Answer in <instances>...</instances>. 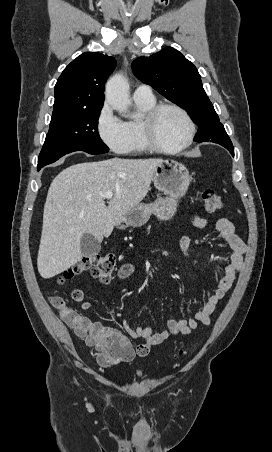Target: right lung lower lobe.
Instances as JSON below:
<instances>
[{"instance_id": "1", "label": "right lung lower lobe", "mask_w": 272, "mask_h": 452, "mask_svg": "<svg viewBox=\"0 0 272 452\" xmlns=\"http://www.w3.org/2000/svg\"><path fill=\"white\" fill-rule=\"evenodd\" d=\"M58 159H53V160H49V161L38 163L37 170L39 171L42 167H44V166H46L48 164H51V163L55 162Z\"/></svg>"}]
</instances>
